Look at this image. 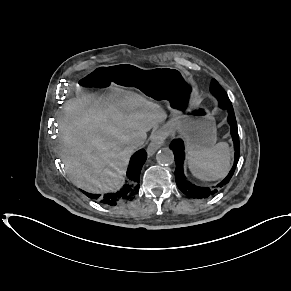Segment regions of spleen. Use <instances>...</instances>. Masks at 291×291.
Segmentation results:
<instances>
[{
	"label": "spleen",
	"instance_id": "obj_1",
	"mask_svg": "<svg viewBox=\"0 0 291 291\" xmlns=\"http://www.w3.org/2000/svg\"><path fill=\"white\" fill-rule=\"evenodd\" d=\"M191 173L201 180H217L226 176L230 169L231 150L226 142L202 150L188 152Z\"/></svg>",
	"mask_w": 291,
	"mask_h": 291
}]
</instances>
